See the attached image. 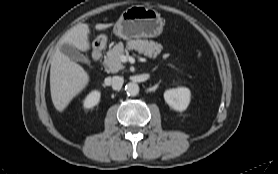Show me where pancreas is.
Listing matches in <instances>:
<instances>
[{"label":"pancreas","instance_id":"1","mask_svg":"<svg viewBox=\"0 0 278 174\" xmlns=\"http://www.w3.org/2000/svg\"><path fill=\"white\" fill-rule=\"evenodd\" d=\"M162 48L160 44L145 39L129 40L126 47L122 42H119L107 52L104 64L108 72L116 73L124 68L120 58L125 51L136 50L148 57L156 58L161 53Z\"/></svg>","mask_w":278,"mask_h":174}]
</instances>
